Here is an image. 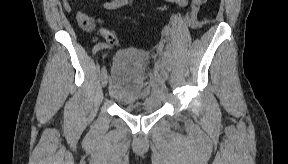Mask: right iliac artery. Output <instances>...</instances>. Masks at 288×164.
Wrapping results in <instances>:
<instances>
[{
  "mask_svg": "<svg viewBox=\"0 0 288 164\" xmlns=\"http://www.w3.org/2000/svg\"><path fill=\"white\" fill-rule=\"evenodd\" d=\"M108 48V45L106 43H99L96 46H94L93 48V54H95L97 51H99L100 49H105Z\"/></svg>",
  "mask_w": 288,
  "mask_h": 164,
  "instance_id": "obj_1",
  "label": "right iliac artery"
}]
</instances>
